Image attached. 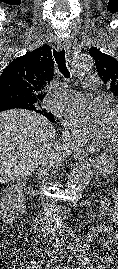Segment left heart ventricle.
Returning a JSON list of instances; mask_svg holds the SVG:
<instances>
[{
  "label": "left heart ventricle",
  "instance_id": "obj_1",
  "mask_svg": "<svg viewBox=\"0 0 118 269\" xmlns=\"http://www.w3.org/2000/svg\"><path fill=\"white\" fill-rule=\"evenodd\" d=\"M102 139L105 142L118 143V112H110Z\"/></svg>",
  "mask_w": 118,
  "mask_h": 269
}]
</instances>
